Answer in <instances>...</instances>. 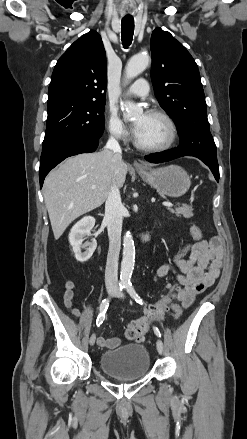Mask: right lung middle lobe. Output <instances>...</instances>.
<instances>
[{
	"label": "right lung middle lobe",
	"instance_id": "1",
	"mask_svg": "<svg viewBox=\"0 0 247 439\" xmlns=\"http://www.w3.org/2000/svg\"><path fill=\"white\" fill-rule=\"evenodd\" d=\"M105 101L66 100L48 106L42 150L88 138H100L104 131Z\"/></svg>",
	"mask_w": 247,
	"mask_h": 439
}]
</instances>
